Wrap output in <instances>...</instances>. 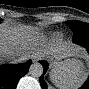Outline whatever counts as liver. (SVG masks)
Listing matches in <instances>:
<instances>
[{
  "label": "liver",
  "instance_id": "1",
  "mask_svg": "<svg viewBox=\"0 0 89 89\" xmlns=\"http://www.w3.org/2000/svg\"><path fill=\"white\" fill-rule=\"evenodd\" d=\"M42 36L38 30L31 26H2L0 29V52L1 60L15 58L17 61L24 60L31 50L39 51L43 57L49 60L59 59L66 56L78 55L80 52L64 45H52L40 48Z\"/></svg>",
  "mask_w": 89,
  "mask_h": 89
}]
</instances>
